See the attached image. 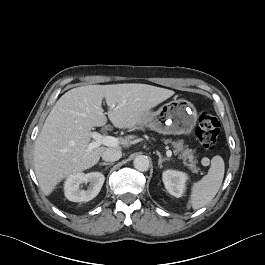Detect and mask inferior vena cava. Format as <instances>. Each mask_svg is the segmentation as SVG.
I'll list each match as a JSON object with an SVG mask.
<instances>
[{
    "instance_id": "inferior-vena-cava-1",
    "label": "inferior vena cava",
    "mask_w": 265,
    "mask_h": 265,
    "mask_svg": "<svg viewBox=\"0 0 265 265\" xmlns=\"http://www.w3.org/2000/svg\"><path fill=\"white\" fill-rule=\"evenodd\" d=\"M122 152L116 149H106L102 153V159L107 162H114L121 158Z\"/></svg>"
}]
</instances>
